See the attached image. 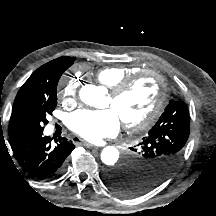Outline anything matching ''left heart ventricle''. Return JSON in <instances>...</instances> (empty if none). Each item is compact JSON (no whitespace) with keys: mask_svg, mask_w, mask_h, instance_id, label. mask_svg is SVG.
<instances>
[{"mask_svg":"<svg viewBox=\"0 0 216 216\" xmlns=\"http://www.w3.org/2000/svg\"><path fill=\"white\" fill-rule=\"evenodd\" d=\"M158 91L157 79L145 75L116 101L109 97L108 106L115 110L122 121L137 122L147 116L157 99Z\"/></svg>","mask_w":216,"mask_h":216,"instance_id":"b2bd125f","label":"left heart ventricle"}]
</instances>
